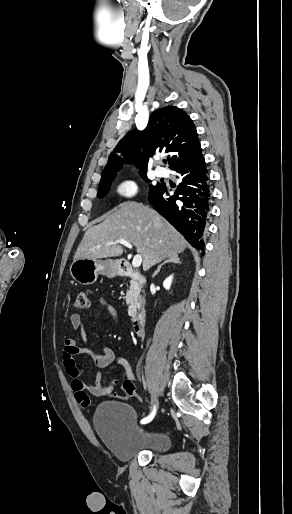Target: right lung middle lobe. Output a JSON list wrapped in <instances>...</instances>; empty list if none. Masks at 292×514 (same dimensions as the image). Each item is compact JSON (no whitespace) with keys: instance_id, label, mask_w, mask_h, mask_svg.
Listing matches in <instances>:
<instances>
[{"instance_id":"obj_1","label":"right lung middle lobe","mask_w":292,"mask_h":514,"mask_svg":"<svg viewBox=\"0 0 292 514\" xmlns=\"http://www.w3.org/2000/svg\"><path fill=\"white\" fill-rule=\"evenodd\" d=\"M141 177L144 179V181L146 182H150V180L147 178L146 176V173H141L140 174ZM114 180V178H111V179H107V180H104V181H101L100 182V186H99V191H98V198H101V197H105L109 190H110V186H111V182ZM161 183H158L157 185L153 186V185H150V190L158 187ZM149 190V191H150Z\"/></svg>"}]
</instances>
